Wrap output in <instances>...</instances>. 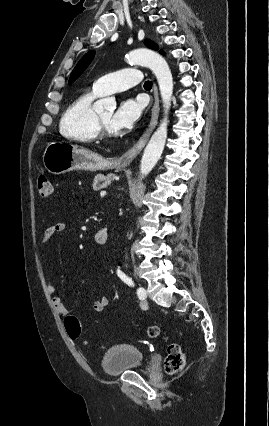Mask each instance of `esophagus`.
Here are the masks:
<instances>
[{
  "mask_svg": "<svg viewBox=\"0 0 269 426\" xmlns=\"http://www.w3.org/2000/svg\"><path fill=\"white\" fill-rule=\"evenodd\" d=\"M153 94H154V105L152 107V115H151L150 123L147 129L145 130V132L143 133V135L141 136V138L138 140V142L120 157L119 161L122 164H126V165L130 164L137 157V155L142 151V149L146 145L150 135L152 134L153 130L155 129L157 125L160 107H159L158 88L155 84L153 87Z\"/></svg>",
  "mask_w": 269,
  "mask_h": 426,
  "instance_id": "34e87169",
  "label": "esophagus"
}]
</instances>
